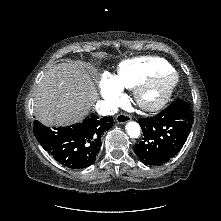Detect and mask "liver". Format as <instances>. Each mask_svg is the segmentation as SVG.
I'll return each mask as SVG.
<instances>
[{
    "instance_id": "6515ba94",
    "label": "liver",
    "mask_w": 221,
    "mask_h": 221,
    "mask_svg": "<svg viewBox=\"0 0 221 221\" xmlns=\"http://www.w3.org/2000/svg\"><path fill=\"white\" fill-rule=\"evenodd\" d=\"M98 96L91 75L74 63H59L45 72L34 95V113L45 126L77 123Z\"/></svg>"
}]
</instances>
